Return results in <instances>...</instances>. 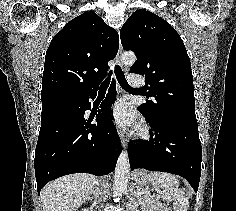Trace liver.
I'll return each instance as SVG.
<instances>
[{"label":"liver","instance_id":"6515ba94","mask_svg":"<svg viewBox=\"0 0 236 211\" xmlns=\"http://www.w3.org/2000/svg\"><path fill=\"white\" fill-rule=\"evenodd\" d=\"M95 176L71 174L49 182L41 191L43 211H76L94 192Z\"/></svg>","mask_w":236,"mask_h":211}]
</instances>
